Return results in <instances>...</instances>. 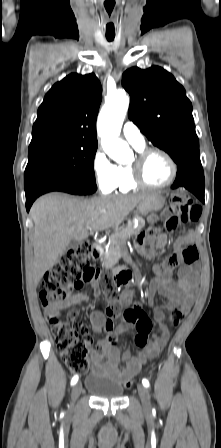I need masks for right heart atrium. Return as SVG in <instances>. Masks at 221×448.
<instances>
[{"instance_id":"obj_1","label":"right heart atrium","mask_w":221,"mask_h":448,"mask_svg":"<svg viewBox=\"0 0 221 448\" xmlns=\"http://www.w3.org/2000/svg\"><path fill=\"white\" fill-rule=\"evenodd\" d=\"M92 168L97 186L104 193L112 192L118 182L119 167L101 150L93 158Z\"/></svg>"}]
</instances>
